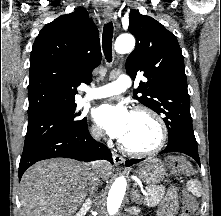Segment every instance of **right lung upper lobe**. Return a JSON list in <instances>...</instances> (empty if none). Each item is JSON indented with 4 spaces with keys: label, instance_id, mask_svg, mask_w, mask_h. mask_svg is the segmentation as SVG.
<instances>
[{
    "label": "right lung upper lobe",
    "instance_id": "cb5924a9",
    "mask_svg": "<svg viewBox=\"0 0 221 216\" xmlns=\"http://www.w3.org/2000/svg\"><path fill=\"white\" fill-rule=\"evenodd\" d=\"M101 58L99 32L85 8L45 25L31 52L28 115L75 104L76 87L91 81Z\"/></svg>",
    "mask_w": 221,
    "mask_h": 216
}]
</instances>
